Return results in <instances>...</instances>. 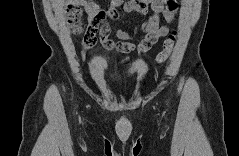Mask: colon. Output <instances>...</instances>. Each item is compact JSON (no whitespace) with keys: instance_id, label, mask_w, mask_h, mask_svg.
Masks as SVG:
<instances>
[{"instance_id":"5ec220e1","label":"colon","mask_w":239,"mask_h":156,"mask_svg":"<svg viewBox=\"0 0 239 156\" xmlns=\"http://www.w3.org/2000/svg\"><path fill=\"white\" fill-rule=\"evenodd\" d=\"M65 14L68 20V24L73 30L74 33H81L84 30V24L82 22V10L81 8L75 3H69L65 8ZM108 17V13L105 11H100L97 14L96 20L104 21ZM98 31V27L95 23H88L86 28V34L91 36L92 42L94 34ZM176 41L175 33L169 35V37L165 40L161 51L156 55L155 62L160 64L163 63L171 54V51L174 47Z\"/></svg>"}]
</instances>
